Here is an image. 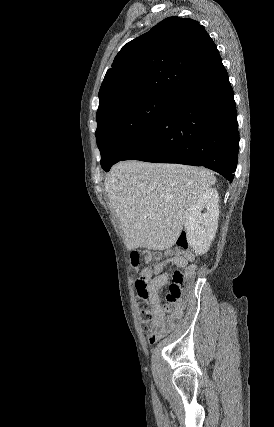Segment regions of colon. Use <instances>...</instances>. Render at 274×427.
<instances>
[{"instance_id": "obj_1", "label": "colon", "mask_w": 274, "mask_h": 427, "mask_svg": "<svg viewBox=\"0 0 274 427\" xmlns=\"http://www.w3.org/2000/svg\"><path fill=\"white\" fill-rule=\"evenodd\" d=\"M189 246V231L181 230L180 234L175 236V247L181 249ZM131 264L134 267V274L140 275L138 280L133 281V290L138 291V296L143 297L139 301L138 318L142 327L146 330L151 329L150 322L155 312V307L150 300L147 299V279L149 278V260L145 256H142L141 250H134L133 256L131 257ZM189 278L187 272L181 269H175L172 274L171 282L169 283L166 293L165 301L169 304H174L182 296ZM151 345L152 337L155 334H150Z\"/></svg>"}]
</instances>
